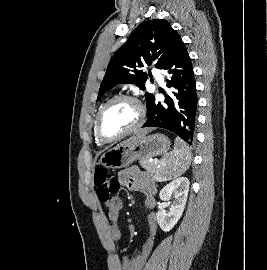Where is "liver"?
Returning a JSON list of instances; mask_svg holds the SVG:
<instances>
[{
  "label": "liver",
  "mask_w": 267,
  "mask_h": 270,
  "mask_svg": "<svg viewBox=\"0 0 267 270\" xmlns=\"http://www.w3.org/2000/svg\"><path fill=\"white\" fill-rule=\"evenodd\" d=\"M152 129L151 128H145L142 130H139L138 132H136L131 138L123 141L120 144H129V143H133L137 140H139L140 138L144 137L145 135H147Z\"/></svg>",
  "instance_id": "1"
}]
</instances>
